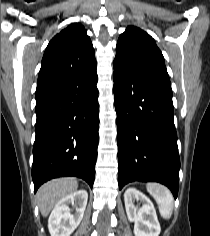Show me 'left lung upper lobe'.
I'll use <instances>...</instances> for the list:
<instances>
[{"instance_id": "left-lung-upper-lobe-1", "label": "left lung upper lobe", "mask_w": 210, "mask_h": 236, "mask_svg": "<svg viewBox=\"0 0 210 236\" xmlns=\"http://www.w3.org/2000/svg\"><path fill=\"white\" fill-rule=\"evenodd\" d=\"M113 64L126 73L169 80L164 57L154 39L134 26L120 35Z\"/></svg>"}]
</instances>
